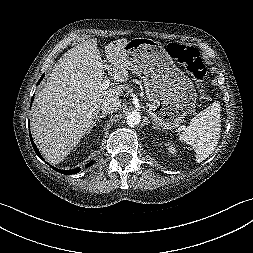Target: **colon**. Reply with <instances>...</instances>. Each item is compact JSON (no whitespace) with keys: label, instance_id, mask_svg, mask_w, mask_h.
Masks as SVG:
<instances>
[{"label":"colon","instance_id":"obj_1","mask_svg":"<svg viewBox=\"0 0 253 253\" xmlns=\"http://www.w3.org/2000/svg\"><path fill=\"white\" fill-rule=\"evenodd\" d=\"M169 56L177 61L187 73L197 82L199 92L203 98L207 97L204 89L205 65L199 52L193 48L178 43H170L167 47Z\"/></svg>","mask_w":253,"mask_h":253}]
</instances>
